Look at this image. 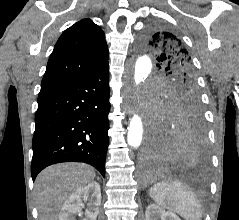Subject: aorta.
<instances>
[{"instance_id": "1", "label": "aorta", "mask_w": 239, "mask_h": 220, "mask_svg": "<svg viewBox=\"0 0 239 220\" xmlns=\"http://www.w3.org/2000/svg\"><path fill=\"white\" fill-rule=\"evenodd\" d=\"M134 65L133 79L135 86H139L149 81L152 75V64L148 56H140ZM143 138V121L138 114H134L130 119L127 143L132 148H138Z\"/></svg>"}]
</instances>
